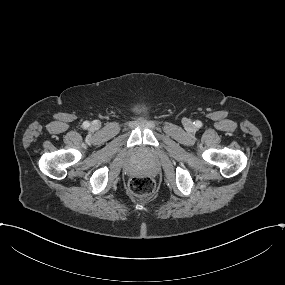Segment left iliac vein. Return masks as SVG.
Segmentation results:
<instances>
[{
  "label": "left iliac vein",
  "instance_id": "left-iliac-vein-1",
  "mask_svg": "<svg viewBox=\"0 0 285 285\" xmlns=\"http://www.w3.org/2000/svg\"><path fill=\"white\" fill-rule=\"evenodd\" d=\"M186 125L188 128H191L193 126L192 122H189L188 120L186 121Z\"/></svg>",
  "mask_w": 285,
  "mask_h": 285
}]
</instances>
